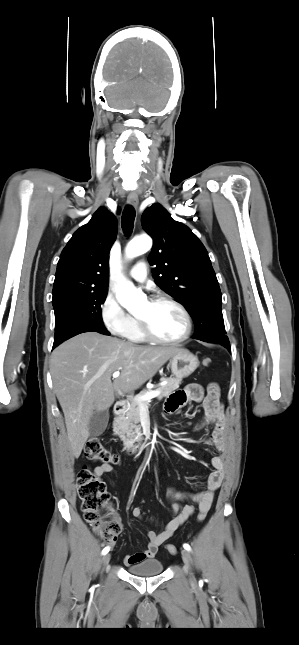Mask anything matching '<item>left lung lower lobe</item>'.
I'll return each mask as SVG.
<instances>
[{"instance_id":"0a47b994","label":"left lung lower lobe","mask_w":299,"mask_h":645,"mask_svg":"<svg viewBox=\"0 0 299 645\" xmlns=\"http://www.w3.org/2000/svg\"><path fill=\"white\" fill-rule=\"evenodd\" d=\"M203 341V340H202ZM206 342L219 343L230 351V343L227 336H221L217 338H211Z\"/></svg>"}]
</instances>
